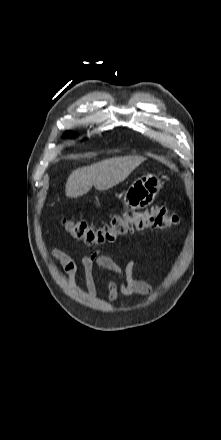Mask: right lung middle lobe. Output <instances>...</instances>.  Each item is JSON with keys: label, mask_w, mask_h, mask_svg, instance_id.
Masks as SVG:
<instances>
[{"label": "right lung middle lobe", "mask_w": 221, "mask_h": 440, "mask_svg": "<svg viewBox=\"0 0 221 440\" xmlns=\"http://www.w3.org/2000/svg\"><path fill=\"white\" fill-rule=\"evenodd\" d=\"M74 135H75V134L72 133V132H67V133H66V136H67V137H73Z\"/></svg>", "instance_id": "right-lung-middle-lobe-1"}]
</instances>
